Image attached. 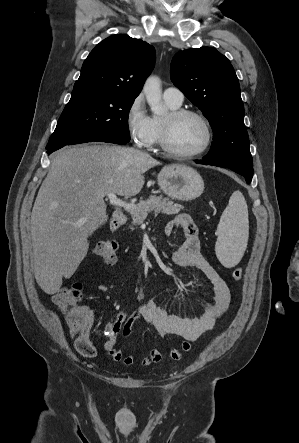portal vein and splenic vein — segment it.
I'll return each mask as SVG.
<instances>
[{"instance_id": "portal-vein-and-splenic-vein-1", "label": "portal vein and splenic vein", "mask_w": 299, "mask_h": 443, "mask_svg": "<svg viewBox=\"0 0 299 443\" xmlns=\"http://www.w3.org/2000/svg\"><path fill=\"white\" fill-rule=\"evenodd\" d=\"M107 196H108V198H109V203H110L111 205L119 206V207H123V208H125L126 210H131V209H133L134 206H135V205H133V204L126 203V202L120 200L119 198H117V196H116L115 193H112V192H111V193H108Z\"/></svg>"}]
</instances>
